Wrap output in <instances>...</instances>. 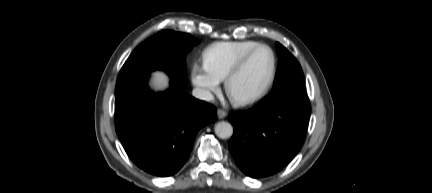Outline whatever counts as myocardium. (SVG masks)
<instances>
[{"instance_id": "1", "label": "myocardium", "mask_w": 432, "mask_h": 193, "mask_svg": "<svg viewBox=\"0 0 432 193\" xmlns=\"http://www.w3.org/2000/svg\"><path fill=\"white\" fill-rule=\"evenodd\" d=\"M262 48H266L271 52L272 55V69H271V73L269 75V78L265 84V86L263 87V89L251 96V97H247V98H236L232 95L231 92V82L232 80L240 73V71L244 68V66L246 65V63L248 62V60L250 59V57L259 49ZM276 74H277V55L275 50L268 44H258L255 47H253L252 49H250L249 51H247L234 65L233 67L229 70V72L227 73L225 79H224V86H225V91L226 94L229 98V100L232 102L233 105L237 106V107H249L252 106L256 103H258L259 101H261L271 90L273 83L275 81L276 78Z\"/></svg>"}]
</instances>
